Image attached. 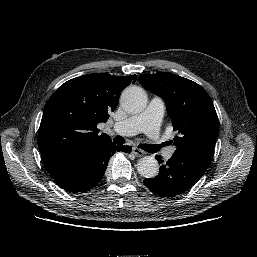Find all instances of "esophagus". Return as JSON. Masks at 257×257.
Segmentation results:
<instances>
[{"mask_svg":"<svg viewBox=\"0 0 257 257\" xmlns=\"http://www.w3.org/2000/svg\"><path fill=\"white\" fill-rule=\"evenodd\" d=\"M132 153L137 156V157H141L145 154L144 151H142L141 149H138L136 147L132 148Z\"/></svg>","mask_w":257,"mask_h":257,"instance_id":"34e87169","label":"esophagus"}]
</instances>
